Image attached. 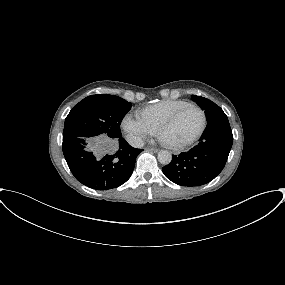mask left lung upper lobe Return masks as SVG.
Wrapping results in <instances>:
<instances>
[{
	"instance_id": "left-lung-upper-lobe-1",
	"label": "left lung upper lobe",
	"mask_w": 285,
	"mask_h": 285,
	"mask_svg": "<svg viewBox=\"0 0 285 285\" xmlns=\"http://www.w3.org/2000/svg\"><path fill=\"white\" fill-rule=\"evenodd\" d=\"M191 97L192 100L205 111L207 122L217 118L227 117L223 110L209 99L196 95H192Z\"/></svg>"
}]
</instances>
